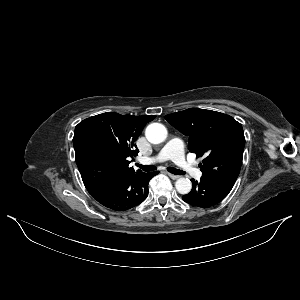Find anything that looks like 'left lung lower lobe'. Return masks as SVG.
Returning a JSON list of instances; mask_svg holds the SVG:
<instances>
[{"label": "left lung lower lobe", "mask_w": 300, "mask_h": 300, "mask_svg": "<svg viewBox=\"0 0 300 300\" xmlns=\"http://www.w3.org/2000/svg\"><path fill=\"white\" fill-rule=\"evenodd\" d=\"M192 190L189 194L183 195L182 199L188 204L198 207H211L222 201L231 191V188L219 183L205 180L192 179Z\"/></svg>", "instance_id": "1"}]
</instances>
